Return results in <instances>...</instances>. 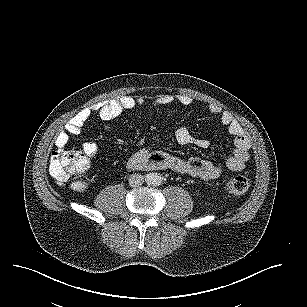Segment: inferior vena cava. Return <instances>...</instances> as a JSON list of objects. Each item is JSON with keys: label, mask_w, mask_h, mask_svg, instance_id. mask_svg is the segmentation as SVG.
<instances>
[{"label": "inferior vena cava", "mask_w": 307, "mask_h": 307, "mask_svg": "<svg viewBox=\"0 0 307 307\" xmlns=\"http://www.w3.org/2000/svg\"><path fill=\"white\" fill-rule=\"evenodd\" d=\"M144 183V176L138 173L131 174L129 176V185L133 188L142 186Z\"/></svg>", "instance_id": "inferior-vena-cava-1"}]
</instances>
